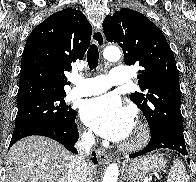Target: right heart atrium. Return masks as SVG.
Segmentation results:
<instances>
[{
  "label": "right heart atrium",
  "mask_w": 196,
  "mask_h": 182,
  "mask_svg": "<svg viewBox=\"0 0 196 182\" xmlns=\"http://www.w3.org/2000/svg\"><path fill=\"white\" fill-rule=\"evenodd\" d=\"M82 139L87 142L91 143L93 141V136L90 131L86 130L82 133Z\"/></svg>",
  "instance_id": "obj_1"
}]
</instances>
